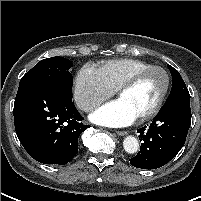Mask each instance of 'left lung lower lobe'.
Wrapping results in <instances>:
<instances>
[{
	"label": "left lung lower lobe",
	"mask_w": 201,
	"mask_h": 201,
	"mask_svg": "<svg viewBox=\"0 0 201 201\" xmlns=\"http://www.w3.org/2000/svg\"><path fill=\"white\" fill-rule=\"evenodd\" d=\"M191 124L190 96L166 101L150 126L137 130L142 141L132 166L156 169L173 159L183 147Z\"/></svg>",
	"instance_id": "1"
}]
</instances>
